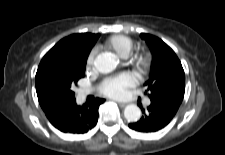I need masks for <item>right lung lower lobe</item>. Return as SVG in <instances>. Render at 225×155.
Wrapping results in <instances>:
<instances>
[{
    "mask_svg": "<svg viewBox=\"0 0 225 155\" xmlns=\"http://www.w3.org/2000/svg\"><path fill=\"white\" fill-rule=\"evenodd\" d=\"M105 100L96 98L90 105L78 106L75 99L62 101L44 111L53 126L65 133H86L98 120V108Z\"/></svg>",
    "mask_w": 225,
    "mask_h": 155,
    "instance_id": "1",
    "label": "right lung lower lobe"
}]
</instances>
